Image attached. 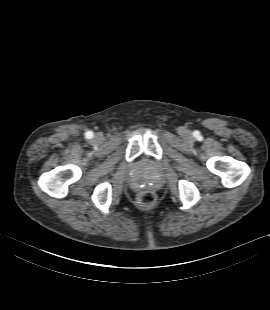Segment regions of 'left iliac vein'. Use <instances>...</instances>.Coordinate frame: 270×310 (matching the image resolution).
Masks as SVG:
<instances>
[{
	"instance_id": "1",
	"label": "left iliac vein",
	"mask_w": 270,
	"mask_h": 310,
	"mask_svg": "<svg viewBox=\"0 0 270 310\" xmlns=\"http://www.w3.org/2000/svg\"><path fill=\"white\" fill-rule=\"evenodd\" d=\"M181 135L184 138H190V132L188 130H182Z\"/></svg>"
}]
</instances>
